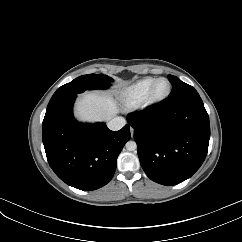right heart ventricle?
Wrapping results in <instances>:
<instances>
[{"instance_id": "obj_1", "label": "right heart ventricle", "mask_w": 242, "mask_h": 242, "mask_svg": "<svg viewBox=\"0 0 242 242\" xmlns=\"http://www.w3.org/2000/svg\"><path fill=\"white\" fill-rule=\"evenodd\" d=\"M154 80L155 78L153 77H146L125 88L122 92L124 103L127 106L141 104L145 100Z\"/></svg>"}]
</instances>
